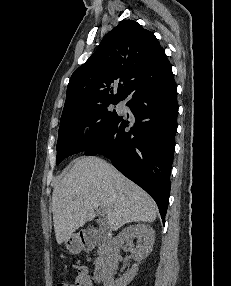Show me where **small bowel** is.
I'll list each match as a JSON object with an SVG mask.
<instances>
[{"instance_id": "1", "label": "small bowel", "mask_w": 231, "mask_h": 286, "mask_svg": "<svg viewBox=\"0 0 231 286\" xmlns=\"http://www.w3.org/2000/svg\"><path fill=\"white\" fill-rule=\"evenodd\" d=\"M77 272L75 278V286H93V281L88 273V269L82 265H75Z\"/></svg>"}]
</instances>
